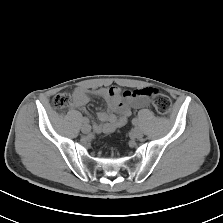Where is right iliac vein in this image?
I'll return each instance as SVG.
<instances>
[{"label":"right iliac vein","instance_id":"obj_1","mask_svg":"<svg viewBox=\"0 0 223 223\" xmlns=\"http://www.w3.org/2000/svg\"><path fill=\"white\" fill-rule=\"evenodd\" d=\"M81 131L85 134H88L91 131V127L88 124H84L81 128Z\"/></svg>","mask_w":223,"mask_h":223}]
</instances>
